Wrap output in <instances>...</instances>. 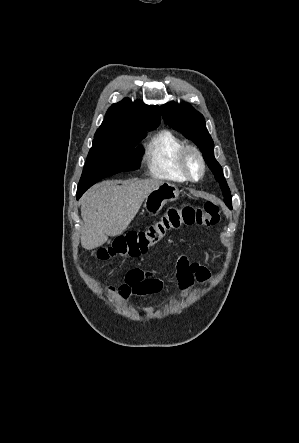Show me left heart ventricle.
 <instances>
[{
  "mask_svg": "<svg viewBox=\"0 0 299 443\" xmlns=\"http://www.w3.org/2000/svg\"><path fill=\"white\" fill-rule=\"evenodd\" d=\"M189 165H190V168H191L192 172H193L194 174H197V173H198V169H199V167H198V163H197V161L195 160V158H190V160H189Z\"/></svg>",
  "mask_w": 299,
  "mask_h": 443,
  "instance_id": "1",
  "label": "left heart ventricle"
}]
</instances>
